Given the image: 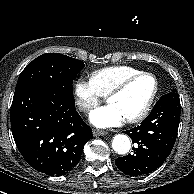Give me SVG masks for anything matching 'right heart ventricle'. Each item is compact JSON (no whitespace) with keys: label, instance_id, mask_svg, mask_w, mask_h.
<instances>
[{"label":"right heart ventricle","instance_id":"1","mask_svg":"<svg viewBox=\"0 0 194 194\" xmlns=\"http://www.w3.org/2000/svg\"><path fill=\"white\" fill-rule=\"evenodd\" d=\"M138 72H140V70L131 66H109L92 72L90 81L96 91L104 97L124 78Z\"/></svg>","mask_w":194,"mask_h":194}]
</instances>
